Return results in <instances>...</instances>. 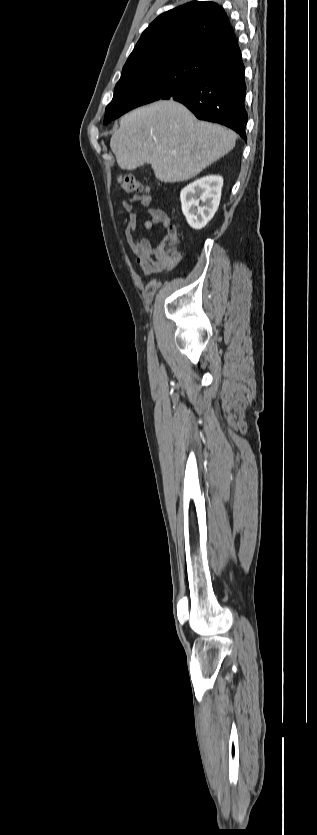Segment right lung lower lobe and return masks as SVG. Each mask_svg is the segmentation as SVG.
Returning <instances> with one entry per match:
<instances>
[{
    "label": "right lung lower lobe",
    "instance_id": "obj_1",
    "mask_svg": "<svg viewBox=\"0 0 317 835\" xmlns=\"http://www.w3.org/2000/svg\"><path fill=\"white\" fill-rule=\"evenodd\" d=\"M205 74L162 99L184 104L198 119L225 125L246 140L244 64L237 39L195 56Z\"/></svg>",
    "mask_w": 317,
    "mask_h": 835
}]
</instances>
